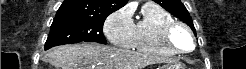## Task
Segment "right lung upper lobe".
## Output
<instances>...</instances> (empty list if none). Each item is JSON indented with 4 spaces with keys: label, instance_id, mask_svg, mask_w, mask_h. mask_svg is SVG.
Here are the masks:
<instances>
[{
    "label": "right lung upper lobe",
    "instance_id": "cb5924a9",
    "mask_svg": "<svg viewBox=\"0 0 246 69\" xmlns=\"http://www.w3.org/2000/svg\"><path fill=\"white\" fill-rule=\"evenodd\" d=\"M127 2L128 0H64L54 19H104Z\"/></svg>",
    "mask_w": 246,
    "mask_h": 69
}]
</instances>
